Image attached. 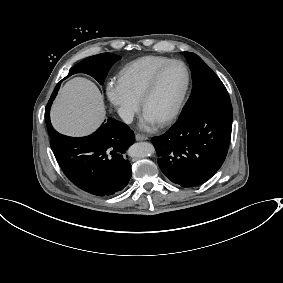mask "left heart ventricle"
<instances>
[{"mask_svg": "<svg viewBox=\"0 0 283 283\" xmlns=\"http://www.w3.org/2000/svg\"><path fill=\"white\" fill-rule=\"evenodd\" d=\"M186 74L181 64L168 67L158 79L151 96L145 101L142 110L157 121L169 114L184 88Z\"/></svg>", "mask_w": 283, "mask_h": 283, "instance_id": "b2bd125f", "label": "left heart ventricle"}]
</instances>
